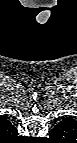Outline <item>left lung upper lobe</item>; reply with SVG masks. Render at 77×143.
<instances>
[{"label":"left lung upper lobe","instance_id":"left-lung-upper-lobe-1","mask_svg":"<svg viewBox=\"0 0 77 143\" xmlns=\"http://www.w3.org/2000/svg\"><path fill=\"white\" fill-rule=\"evenodd\" d=\"M71 119H63L59 124H57L52 131H55L56 134L61 135L65 132L69 125H71Z\"/></svg>","mask_w":77,"mask_h":143}]
</instances>
